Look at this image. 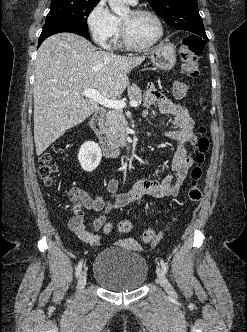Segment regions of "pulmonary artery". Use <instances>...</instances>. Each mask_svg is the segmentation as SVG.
I'll return each instance as SVG.
<instances>
[{
	"instance_id": "1",
	"label": "pulmonary artery",
	"mask_w": 247,
	"mask_h": 332,
	"mask_svg": "<svg viewBox=\"0 0 247 332\" xmlns=\"http://www.w3.org/2000/svg\"><path fill=\"white\" fill-rule=\"evenodd\" d=\"M138 0H128L129 3H131L132 5H135L137 3Z\"/></svg>"
}]
</instances>
